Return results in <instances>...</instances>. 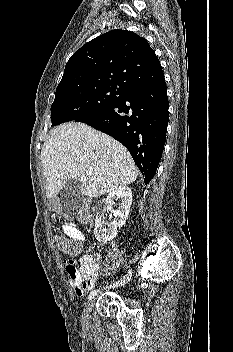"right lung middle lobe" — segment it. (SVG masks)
Segmentation results:
<instances>
[{
    "label": "right lung middle lobe",
    "instance_id": "obj_1",
    "mask_svg": "<svg viewBox=\"0 0 233 352\" xmlns=\"http://www.w3.org/2000/svg\"><path fill=\"white\" fill-rule=\"evenodd\" d=\"M128 90L117 85L83 87L55 96L51 106L52 126L79 121L121 100Z\"/></svg>",
    "mask_w": 233,
    "mask_h": 352
}]
</instances>
